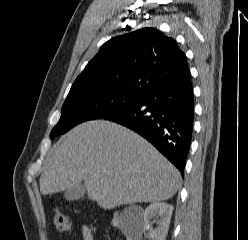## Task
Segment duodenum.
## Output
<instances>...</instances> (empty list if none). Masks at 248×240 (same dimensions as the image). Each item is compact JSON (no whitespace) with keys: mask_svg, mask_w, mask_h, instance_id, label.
Wrapping results in <instances>:
<instances>
[{"mask_svg":"<svg viewBox=\"0 0 248 240\" xmlns=\"http://www.w3.org/2000/svg\"><path fill=\"white\" fill-rule=\"evenodd\" d=\"M114 224H115V226L118 227V228H121V227L123 226V223H122V221H121V219H120V217H119L118 214H116V215L114 216Z\"/></svg>","mask_w":248,"mask_h":240,"instance_id":"1","label":"duodenum"}]
</instances>
